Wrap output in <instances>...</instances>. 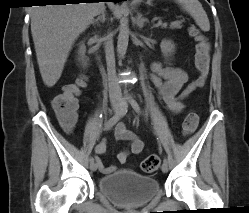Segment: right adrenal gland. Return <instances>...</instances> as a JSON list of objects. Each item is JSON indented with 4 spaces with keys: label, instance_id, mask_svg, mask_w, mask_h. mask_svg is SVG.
Here are the masks:
<instances>
[{
    "label": "right adrenal gland",
    "instance_id": "2a0ac1e0",
    "mask_svg": "<svg viewBox=\"0 0 249 213\" xmlns=\"http://www.w3.org/2000/svg\"><path fill=\"white\" fill-rule=\"evenodd\" d=\"M105 15H106V11L104 10L102 13H101V15H99L98 17H97V19H94L93 21H92V24L94 25V24H97V23H99V21L100 22H105Z\"/></svg>",
    "mask_w": 249,
    "mask_h": 213
}]
</instances>
